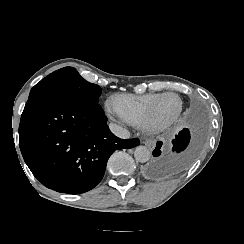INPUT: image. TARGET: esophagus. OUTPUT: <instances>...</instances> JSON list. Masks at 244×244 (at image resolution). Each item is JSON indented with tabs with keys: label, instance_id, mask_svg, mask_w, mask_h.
<instances>
[{
	"label": "esophagus",
	"instance_id": "1",
	"mask_svg": "<svg viewBox=\"0 0 244 244\" xmlns=\"http://www.w3.org/2000/svg\"><path fill=\"white\" fill-rule=\"evenodd\" d=\"M142 143L147 146L150 150H153L154 147H155V139H152V138H148V139H145L142 141Z\"/></svg>",
	"mask_w": 244,
	"mask_h": 244
}]
</instances>
